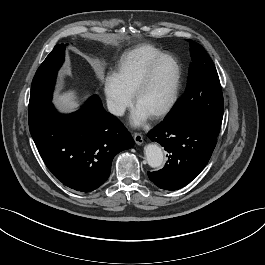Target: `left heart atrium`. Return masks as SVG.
Segmentation results:
<instances>
[{
    "label": "left heart atrium",
    "mask_w": 265,
    "mask_h": 265,
    "mask_svg": "<svg viewBox=\"0 0 265 265\" xmlns=\"http://www.w3.org/2000/svg\"><path fill=\"white\" fill-rule=\"evenodd\" d=\"M148 118H149V115L147 113L140 110L139 108H135L132 114V117H131V122L133 125L139 126L143 124Z\"/></svg>",
    "instance_id": "39dd6f15"
}]
</instances>
